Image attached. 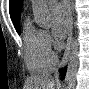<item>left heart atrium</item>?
Listing matches in <instances>:
<instances>
[{"mask_svg": "<svg viewBox=\"0 0 89 89\" xmlns=\"http://www.w3.org/2000/svg\"><path fill=\"white\" fill-rule=\"evenodd\" d=\"M52 31L57 40H62L68 29L69 19L63 6L56 5L51 10Z\"/></svg>", "mask_w": 89, "mask_h": 89, "instance_id": "left-heart-atrium-1", "label": "left heart atrium"}]
</instances>
